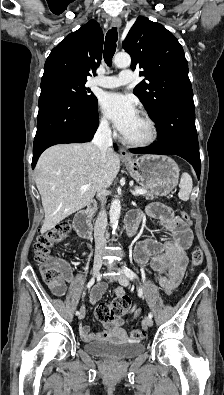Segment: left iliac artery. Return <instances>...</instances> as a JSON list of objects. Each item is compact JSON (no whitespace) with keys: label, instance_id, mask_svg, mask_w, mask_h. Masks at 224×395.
Returning <instances> with one entry per match:
<instances>
[{"label":"left iliac artery","instance_id":"44dca946","mask_svg":"<svg viewBox=\"0 0 224 395\" xmlns=\"http://www.w3.org/2000/svg\"><path fill=\"white\" fill-rule=\"evenodd\" d=\"M123 271H124L125 275H126L128 278H130L131 280L134 279V278H137V275H136L132 270H130L128 267L123 266ZM138 296H139V297H143V290H142V288H140V287H139V289H138ZM148 316H149L150 318H152V317H153V314L150 312V313L148 314Z\"/></svg>","mask_w":224,"mask_h":395}]
</instances>
